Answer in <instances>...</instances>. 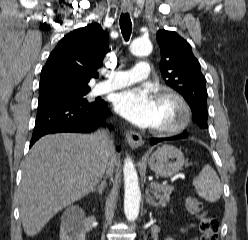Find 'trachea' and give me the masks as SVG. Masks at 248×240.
<instances>
[{"label": "trachea", "instance_id": "1", "mask_svg": "<svg viewBox=\"0 0 248 240\" xmlns=\"http://www.w3.org/2000/svg\"><path fill=\"white\" fill-rule=\"evenodd\" d=\"M120 29L125 41H128L132 31V22L128 13L120 16Z\"/></svg>", "mask_w": 248, "mask_h": 240}]
</instances>
